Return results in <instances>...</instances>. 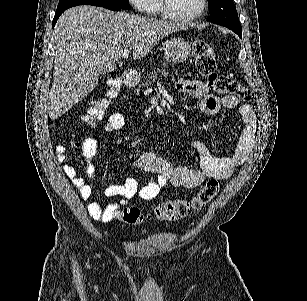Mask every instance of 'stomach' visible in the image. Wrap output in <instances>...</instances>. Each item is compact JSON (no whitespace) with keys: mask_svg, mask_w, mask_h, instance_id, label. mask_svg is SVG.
<instances>
[{"mask_svg":"<svg viewBox=\"0 0 307 301\" xmlns=\"http://www.w3.org/2000/svg\"><path fill=\"white\" fill-rule=\"evenodd\" d=\"M163 52L168 62H184L190 56L191 46L185 38L172 36L163 42ZM134 82V78H132Z\"/></svg>","mask_w":307,"mask_h":301,"instance_id":"obj_1","label":"stomach"}]
</instances>
